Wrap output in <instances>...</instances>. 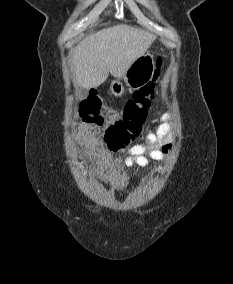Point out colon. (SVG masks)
Listing matches in <instances>:
<instances>
[{
	"mask_svg": "<svg viewBox=\"0 0 233 284\" xmlns=\"http://www.w3.org/2000/svg\"><path fill=\"white\" fill-rule=\"evenodd\" d=\"M163 60L157 57L152 82H148L136 90L126 102L122 115L105 130L104 141L110 151L116 152L128 146L142 132L147 117V110L156 96V81L160 76ZM80 115L84 122L102 126L101 102L91 96L81 103Z\"/></svg>",
	"mask_w": 233,
	"mask_h": 284,
	"instance_id": "5ec220e1",
	"label": "colon"
}]
</instances>
